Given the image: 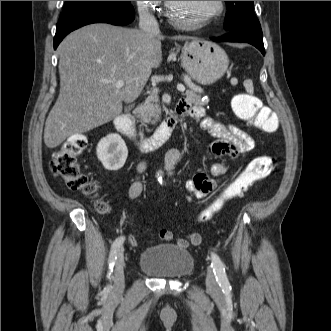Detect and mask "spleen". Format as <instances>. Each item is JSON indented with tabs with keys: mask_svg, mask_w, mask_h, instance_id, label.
Here are the masks:
<instances>
[{
	"mask_svg": "<svg viewBox=\"0 0 331 331\" xmlns=\"http://www.w3.org/2000/svg\"><path fill=\"white\" fill-rule=\"evenodd\" d=\"M248 91L251 93L253 92V86L252 83H248Z\"/></svg>",
	"mask_w": 331,
	"mask_h": 331,
	"instance_id": "3e777b00",
	"label": "spleen"
}]
</instances>
